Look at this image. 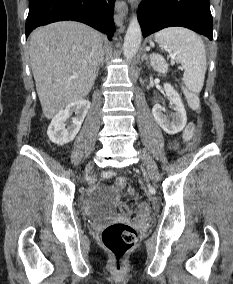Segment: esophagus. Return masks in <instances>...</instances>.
Returning a JSON list of instances; mask_svg holds the SVG:
<instances>
[{"label":"esophagus","instance_id":"34e87169","mask_svg":"<svg viewBox=\"0 0 233 284\" xmlns=\"http://www.w3.org/2000/svg\"><path fill=\"white\" fill-rule=\"evenodd\" d=\"M136 0H130L131 3H134Z\"/></svg>","mask_w":233,"mask_h":284}]
</instances>
